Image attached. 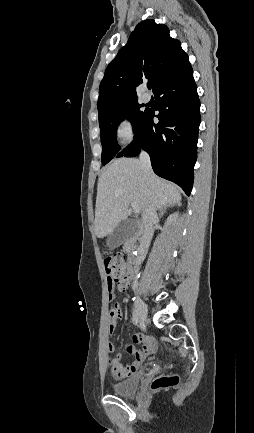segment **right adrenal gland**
I'll use <instances>...</instances> for the list:
<instances>
[{"instance_id":"2a0ac1e0","label":"right adrenal gland","mask_w":254,"mask_h":433,"mask_svg":"<svg viewBox=\"0 0 254 433\" xmlns=\"http://www.w3.org/2000/svg\"><path fill=\"white\" fill-rule=\"evenodd\" d=\"M171 206H174V204H169V205H165V206H163V207L160 209V214H159V216H160V217L163 216V214L166 212V209H167L168 207H171Z\"/></svg>"}]
</instances>
